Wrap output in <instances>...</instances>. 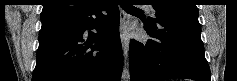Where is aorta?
<instances>
[{
  "label": "aorta",
  "mask_w": 237,
  "mask_h": 81,
  "mask_svg": "<svg viewBox=\"0 0 237 81\" xmlns=\"http://www.w3.org/2000/svg\"><path fill=\"white\" fill-rule=\"evenodd\" d=\"M121 78H122V81H129L130 80V73H129V70L126 66L123 68Z\"/></svg>",
  "instance_id": "1"
}]
</instances>
